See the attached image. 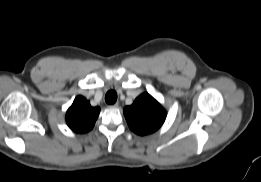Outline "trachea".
I'll return each mask as SVG.
<instances>
[{
  "instance_id": "obj_1",
  "label": "trachea",
  "mask_w": 261,
  "mask_h": 182,
  "mask_svg": "<svg viewBox=\"0 0 261 182\" xmlns=\"http://www.w3.org/2000/svg\"><path fill=\"white\" fill-rule=\"evenodd\" d=\"M117 100V93L114 90L107 92L105 96V101L107 104H114Z\"/></svg>"
}]
</instances>
